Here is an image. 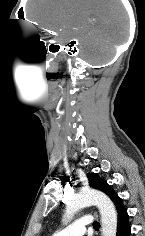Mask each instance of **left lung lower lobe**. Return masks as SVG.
<instances>
[{
	"label": "left lung lower lobe",
	"mask_w": 145,
	"mask_h": 236,
	"mask_svg": "<svg viewBox=\"0 0 145 236\" xmlns=\"http://www.w3.org/2000/svg\"><path fill=\"white\" fill-rule=\"evenodd\" d=\"M118 213V225H117V235L116 236H130L131 228L128 221V214L125 208L117 211Z\"/></svg>",
	"instance_id": "left-lung-lower-lobe-1"
}]
</instances>
